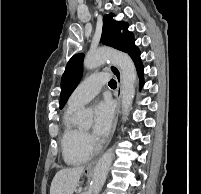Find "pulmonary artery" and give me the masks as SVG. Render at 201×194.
<instances>
[{"label": "pulmonary artery", "mask_w": 201, "mask_h": 194, "mask_svg": "<svg viewBox=\"0 0 201 194\" xmlns=\"http://www.w3.org/2000/svg\"><path fill=\"white\" fill-rule=\"evenodd\" d=\"M108 79L107 73H96L88 76L70 95L68 105L75 108L83 106L100 92Z\"/></svg>", "instance_id": "1"}]
</instances>
